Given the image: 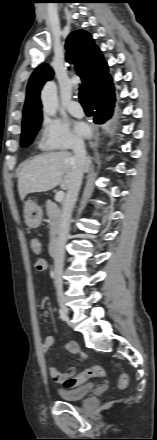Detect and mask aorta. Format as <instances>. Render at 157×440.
Listing matches in <instances>:
<instances>
[{"instance_id":"1","label":"aorta","mask_w":157,"mask_h":440,"mask_svg":"<svg viewBox=\"0 0 157 440\" xmlns=\"http://www.w3.org/2000/svg\"><path fill=\"white\" fill-rule=\"evenodd\" d=\"M41 101L43 111L49 116H54L57 112L59 101L57 96V86L53 81L47 82L41 91Z\"/></svg>"}]
</instances>
